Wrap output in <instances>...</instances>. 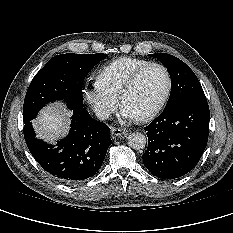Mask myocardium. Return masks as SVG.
Returning <instances> with one entry per match:
<instances>
[{"label":"myocardium","mask_w":233,"mask_h":233,"mask_svg":"<svg viewBox=\"0 0 233 233\" xmlns=\"http://www.w3.org/2000/svg\"><path fill=\"white\" fill-rule=\"evenodd\" d=\"M152 67H157V68H160L164 71L166 78H167V87H166V91H165L162 99L160 100V102L150 112H148L145 115L138 118V120L141 122H146V121H149V120L155 118L163 110V108L167 104V102L171 96L172 88H173V78H172L170 70L162 63L150 62V63L140 67L139 69H137L130 76V78L125 83V85L122 88L120 95H119V101H120L121 105H123V102H124L126 95L135 87V85L137 84V82L140 79V77L142 76V74L147 69L152 68Z\"/></svg>","instance_id":"myocardium-1"}]
</instances>
